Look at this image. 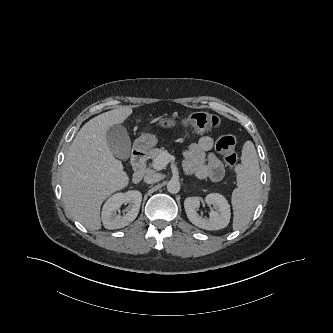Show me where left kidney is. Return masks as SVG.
I'll list each match as a JSON object with an SVG mask.
<instances>
[{
    "label": "left kidney",
    "instance_id": "left-kidney-1",
    "mask_svg": "<svg viewBox=\"0 0 333 333\" xmlns=\"http://www.w3.org/2000/svg\"><path fill=\"white\" fill-rule=\"evenodd\" d=\"M206 203L214 206L209 218L198 215L196 209L200 206L198 197H188L184 201V208L188 219L195 226L205 230H220L225 228L230 221V205L226 198L218 193H210L205 198Z\"/></svg>",
    "mask_w": 333,
    "mask_h": 333
}]
</instances>
